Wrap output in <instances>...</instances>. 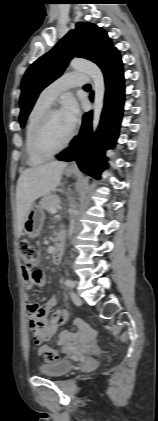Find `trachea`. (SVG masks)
Here are the masks:
<instances>
[{
	"label": "trachea",
	"mask_w": 158,
	"mask_h": 421,
	"mask_svg": "<svg viewBox=\"0 0 158 421\" xmlns=\"http://www.w3.org/2000/svg\"><path fill=\"white\" fill-rule=\"evenodd\" d=\"M84 87L85 88H90V85L89 84H86Z\"/></svg>",
	"instance_id": "trachea-1"
}]
</instances>
